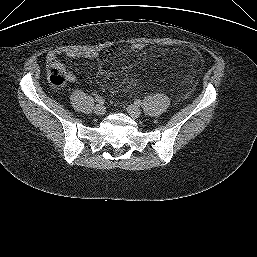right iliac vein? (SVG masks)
<instances>
[{"label": "right iliac vein", "instance_id": "1", "mask_svg": "<svg viewBox=\"0 0 257 257\" xmlns=\"http://www.w3.org/2000/svg\"><path fill=\"white\" fill-rule=\"evenodd\" d=\"M106 109L105 107L103 106V104H97L95 107H94V113L96 115H103L105 113Z\"/></svg>", "mask_w": 257, "mask_h": 257}]
</instances>
